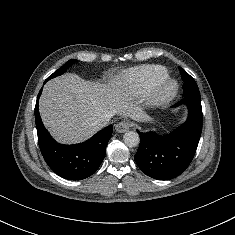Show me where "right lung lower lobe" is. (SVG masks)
<instances>
[{
  "label": "right lung lower lobe",
  "instance_id": "obj_1",
  "mask_svg": "<svg viewBox=\"0 0 235 235\" xmlns=\"http://www.w3.org/2000/svg\"><path fill=\"white\" fill-rule=\"evenodd\" d=\"M41 92L42 89L37 97L35 120L38 143L44 160L56 174L65 179L81 180L89 177L98 169L104 159L113 125L107 126L83 143L59 144L51 137L40 118L38 99Z\"/></svg>",
  "mask_w": 235,
  "mask_h": 235
}]
</instances>
